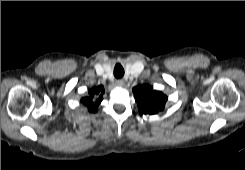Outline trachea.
<instances>
[{
    "instance_id": "1",
    "label": "trachea",
    "mask_w": 245,
    "mask_h": 170,
    "mask_svg": "<svg viewBox=\"0 0 245 170\" xmlns=\"http://www.w3.org/2000/svg\"><path fill=\"white\" fill-rule=\"evenodd\" d=\"M124 75V69L122 68L121 65H116L114 68V76L119 79L122 78Z\"/></svg>"
}]
</instances>
